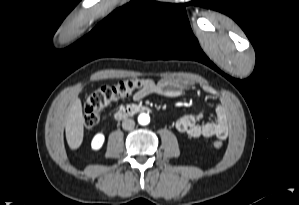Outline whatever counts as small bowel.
Instances as JSON below:
<instances>
[{"label": "small bowel", "instance_id": "1", "mask_svg": "<svg viewBox=\"0 0 299 205\" xmlns=\"http://www.w3.org/2000/svg\"><path fill=\"white\" fill-rule=\"evenodd\" d=\"M193 82L181 77H166L158 82L152 79H143L142 87L133 94L135 101H141L149 95H160L168 98H176L183 94L186 89L193 86ZM202 92L210 97L216 92L209 86H201ZM216 120L212 122H201L203 113L189 114L179 118L175 127L178 132L192 138L217 137L225 139L230 129V117L226 104L220 102L215 108Z\"/></svg>", "mask_w": 299, "mask_h": 205}]
</instances>
